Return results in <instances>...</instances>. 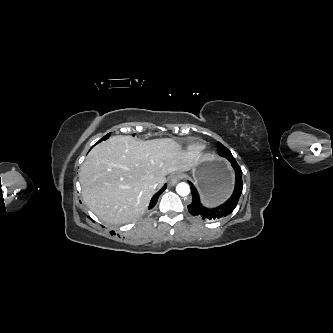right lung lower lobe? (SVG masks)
<instances>
[{"label": "right lung lower lobe", "instance_id": "right-lung-lower-lobe-1", "mask_svg": "<svg viewBox=\"0 0 333 333\" xmlns=\"http://www.w3.org/2000/svg\"><path fill=\"white\" fill-rule=\"evenodd\" d=\"M99 142H101V140H100ZM99 142H98V143H99ZM166 187H167V185L165 184V185L162 187V189H161L159 192H157V193L152 197V199H151V201H150V205H149V208H150V209L153 208V207L156 205L157 200H158V197H159L160 194L166 189Z\"/></svg>", "mask_w": 333, "mask_h": 333}]
</instances>
